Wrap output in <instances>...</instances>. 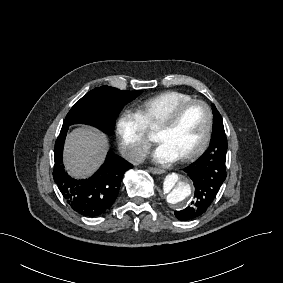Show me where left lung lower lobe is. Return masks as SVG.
Returning a JSON list of instances; mask_svg holds the SVG:
<instances>
[{
    "label": "left lung lower lobe",
    "instance_id": "1",
    "mask_svg": "<svg viewBox=\"0 0 283 283\" xmlns=\"http://www.w3.org/2000/svg\"><path fill=\"white\" fill-rule=\"evenodd\" d=\"M228 144L223 121L213 119V131L209 148L184 171L193 181L194 200L182 211H175L179 220H190L201 216L212 205L226 178L225 162Z\"/></svg>",
    "mask_w": 283,
    "mask_h": 283
}]
</instances>
